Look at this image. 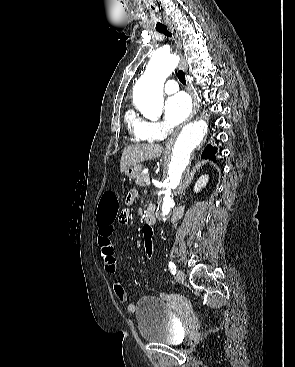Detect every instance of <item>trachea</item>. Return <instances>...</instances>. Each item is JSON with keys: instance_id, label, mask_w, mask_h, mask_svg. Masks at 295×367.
Here are the masks:
<instances>
[{"instance_id": "1", "label": "trachea", "mask_w": 295, "mask_h": 367, "mask_svg": "<svg viewBox=\"0 0 295 367\" xmlns=\"http://www.w3.org/2000/svg\"><path fill=\"white\" fill-rule=\"evenodd\" d=\"M156 30H157L159 33H162V34H164V35H166V36H168V37H172L171 32L167 29V27H166V26L156 27ZM177 75H178V79H179V81H180L183 85H185V84H186V80H185V74H184V72H183L182 70H179Z\"/></svg>"}]
</instances>
